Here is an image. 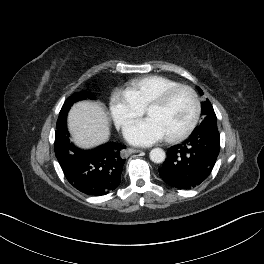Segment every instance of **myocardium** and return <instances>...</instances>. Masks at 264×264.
Segmentation results:
<instances>
[{"instance_id": "f54148a6", "label": "myocardium", "mask_w": 264, "mask_h": 264, "mask_svg": "<svg viewBox=\"0 0 264 264\" xmlns=\"http://www.w3.org/2000/svg\"><path fill=\"white\" fill-rule=\"evenodd\" d=\"M180 91H187L191 95L194 103V113L189 125L183 131L176 135L165 137V140L170 143H176L184 140L196 128L201 115V102L197 92L188 85L179 84L165 90L158 97L152 100L145 108V114H147V112L152 108L163 107Z\"/></svg>"}]
</instances>
